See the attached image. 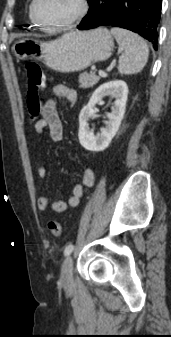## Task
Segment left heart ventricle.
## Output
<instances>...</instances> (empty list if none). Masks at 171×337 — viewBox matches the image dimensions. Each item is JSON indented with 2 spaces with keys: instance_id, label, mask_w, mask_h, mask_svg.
<instances>
[{
  "instance_id": "obj_1",
  "label": "left heart ventricle",
  "mask_w": 171,
  "mask_h": 337,
  "mask_svg": "<svg viewBox=\"0 0 171 337\" xmlns=\"http://www.w3.org/2000/svg\"><path fill=\"white\" fill-rule=\"evenodd\" d=\"M79 0H39L37 14L47 25H59L70 20L79 10Z\"/></svg>"
}]
</instances>
